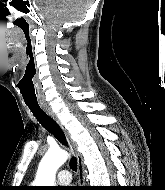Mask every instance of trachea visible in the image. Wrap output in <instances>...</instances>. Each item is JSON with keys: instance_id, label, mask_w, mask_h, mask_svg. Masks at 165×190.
<instances>
[{"instance_id": "trachea-1", "label": "trachea", "mask_w": 165, "mask_h": 190, "mask_svg": "<svg viewBox=\"0 0 165 190\" xmlns=\"http://www.w3.org/2000/svg\"><path fill=\"white\" fill-rule=\"evenodd\" d=\"M35 118L40 124L51 134L54 135L62 144L67 145L65 135L59 125L40 107L38 103H26ZM70 167L73 171L77 170V160L72 157L70 160Z\"/></svg>"}]
</instances>
